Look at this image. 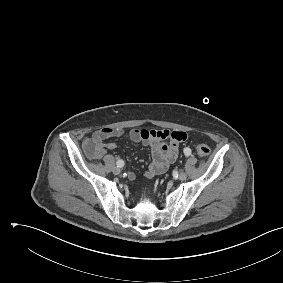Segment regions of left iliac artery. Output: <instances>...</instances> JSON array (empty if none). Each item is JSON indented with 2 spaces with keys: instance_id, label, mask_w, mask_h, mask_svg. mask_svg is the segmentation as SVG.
I'll return each mask as SVG.
<instances>
[{
  "instance_id": "1",
  "label": "left iliac artery",
  "mask_w": 283,
  "mask_h": 283,
  "mask_svg": "<svg viewBox=\"0 0 283 283\" xmlns=\"http://www.w3.org/2000/svg\"><path fill=\"white\" fill-rule=\"evenodd\" d=\"M184 153H185L186 156H189L190 153H191V150L189 148H185Z\"/></svg>"
}]
</instances>
